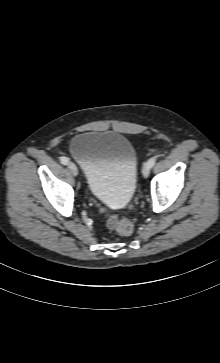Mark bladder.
Here are the masks:
<instances>
[{"label":"bladder","mask_w":220,"mask_h":363,"mask_svg":"<svg viewBox=\"0 0 220 363\" xmlns=\"http://www.w3.org/2000/svg\"><path fill=\"white\" fill-rule=\"evenodd\" d=\"M92 196L109 207H124L137 182L138 156L131 141L117 132L86 131L70 142Z\"/></svg>","instance_id":"obj_1"}]
</instances>
